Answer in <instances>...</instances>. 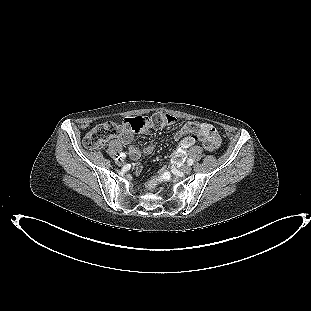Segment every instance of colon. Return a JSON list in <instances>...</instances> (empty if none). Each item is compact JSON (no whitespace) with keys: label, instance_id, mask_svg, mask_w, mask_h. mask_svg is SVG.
Here are the masks:
<instances>
[{"label":"colon","instance_id":"1","mask_svg":"<svg viewBox=\"0 0 311 311\" xmlns=\"http://www.w3.org/2000/svg\"><path fill=\"white\" fill-rule=\"evenodd\" d=\"M177 119L166 113H155L152 117H131L124 119L120 124L106 122L91 129L84 137V146L88 149L102 148L108 140L119 134L120 128L127 131L141 132L151 126L164 127L176 124ZM167 180V171H161L156 179L148 182L147 188L153 190L156 186Z\"/></svg>","mask_w":311,"mask_h":311}]
</instances>
